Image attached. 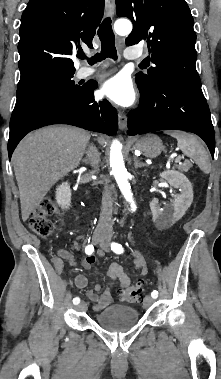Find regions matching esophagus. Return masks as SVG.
I'll return each instance as SVG.
<instances>
[{
    "label": "esophagus",
    "mask_w": 221,
    "mask_h": 379,
    "mask_svg": "<svg viewBox=\"0 0 221 379\" xmlns=\"http://www.w3.org/2000/svg\"><path fill=\"white\" fill-rule=\"evenodd\" d=\"M106 9L109 17H112L115 10V0H106ZM118 124L121 130L125 129L127 126V117L123 112L118 114Z\"/></svg>",
    "instance_id": "esophagus-1"
}]
</instances>
